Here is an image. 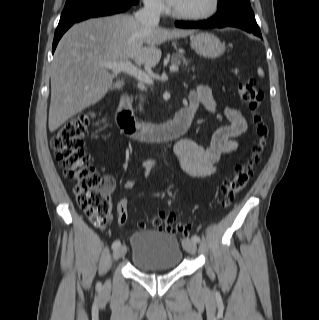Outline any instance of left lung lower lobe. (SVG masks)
<instances>
[{"instance_id": "1", "label": "left lung lower lobe", "mask_w": 319, "mask_h": 320, "mask_svg": "<svg viewBox=\"0 0 319 320\" xmlns=\"http://www.w3.org/2000/svg\"><path fill=\"white\" fill-rule=\"evenodd\" d=\"M179 28H223L236 27L261 37L251 6H232L217 10V13L208 20L199 22L177 21Z\"/></svg>"}]
</instances>
